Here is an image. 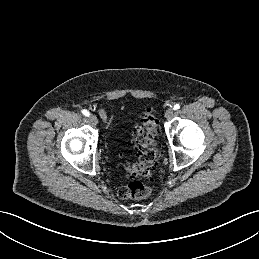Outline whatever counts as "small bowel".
I'll list each match as a JSON object with an SVG mask.
<instances>
[{"mask_svg": "<svg viewBox=\"0 0 259 259\" xmlns=\"http://www.w3.org/2000/svg\"><path fill=\"white\" fill-rule=\"evenodd\" d=\"M99 114H100L101 118H102L104 121H108V119H109V114L107 113L106 110L100 109V110H99Z\"/></svg>", "mask_w": 259, "mask_h": 259, "instance_id": "obj_1", "label": "small bowel"}]
</instances>
